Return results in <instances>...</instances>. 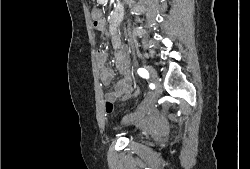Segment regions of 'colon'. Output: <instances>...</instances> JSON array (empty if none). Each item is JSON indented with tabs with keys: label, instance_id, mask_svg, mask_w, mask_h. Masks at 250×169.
Returning a JSON list of instances; mask_svg holds the SVG:
<instances>
[{
	"label": "colon",
	"instance_id": "5ec220e1",
	"mask_svg": "<svg viewBox=\"0 0 250 169\" xmlns=\"http://www.w3.org/2000/svg\"><path fill=\"white\" fill-rule=\"evenodd\" d=\"M94 28L97 30V31H101V23L100 21L96 20L94 22ZM110 103H106L105 104V107L106 108H114V103H111L112 101L110 100L109 101ZM105 113L106 114H113L114 113V110L113 109H106L105 110Z\"/></svg>",
	"mask_w": 250,
	"mask_h": 169
}]
</instances>
